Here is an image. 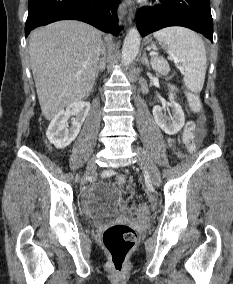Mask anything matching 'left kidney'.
<instances>
[{"instance_id":"5707ae66","label":"left kidney","mask_w":233,"mask_h":284,"mask_svg":"<svg viewBox=\"0 0 233 284\" xmlns=\"http://www.w3.org/2000/svg\"><path fill=\"white\" fill-rule=\"evenodd\" d=\"M171 114L166 116L163 108L159 105L153 107V117L156 124L168 135L178 133L185 124V115L182 107L174 100V95L170 93Z\"/></svg>"}]
</instances>
